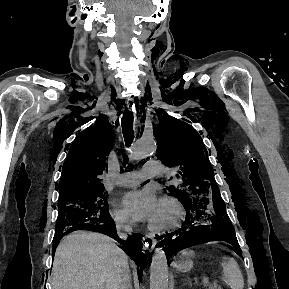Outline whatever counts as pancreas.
Returning <instances> with one entry per match:
<instances>
[{
    "label": "pancreas",
    "mask_w": 289,
    "mask_h": 289,
    "mask_svg": "<svg viewBox=\"0 0 289 289\" xmlns=\"http://www.w3.org/2000/svg\"><path fill=\"white\" fill-rule=\"evenodd\" d=\"M208 289H222L218 284L212 283L208 285Z\"/></svg>",
    "instance_id": "cf45deb5"
}]
</instances>
